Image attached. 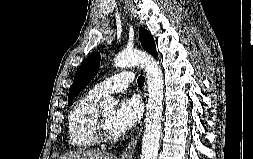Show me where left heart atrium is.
<instances>
[{
	"mask_svg": "<svg viewBox=\"0 0 253 159\" xmlns=\"http://www.w3.org/2000/svg\"><path fill=\"white\" fill-rule=\"evenodd\" d=\"M142 115V104L138 97L124 98L113 118V126L118 134H122L137 124Z\"/></svg>",
	"mask_w": 253,
	"mask_h": 159,
	"instance_id": "left-heart-atrium-1",
	"label": "left heart atrium"
}]
</instances>
